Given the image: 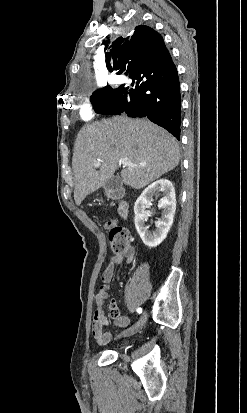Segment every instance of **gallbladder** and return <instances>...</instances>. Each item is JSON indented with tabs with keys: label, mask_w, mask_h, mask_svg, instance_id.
<instances>
[{
	"label": "gallbladder",
	"mask_w": 247,
	"mask_h": 413,
	"mask_svg": "<svg viewBox=\"0 0 247 413\" xmlns=\"http://www.w3.org/2000/svg\"><path fill=\"white\" fill-rule=\"evenodd\" d=\"M121 184L120 176H110L104 182V188H118Z\"/></svg>",
	"instance_id": "bac80fb5"
}]
</instances>
